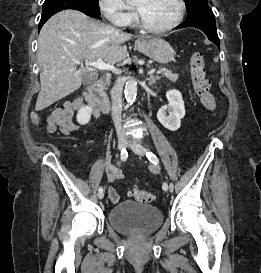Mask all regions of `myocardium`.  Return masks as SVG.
Returning <instances> with one entry per match:
<instances>
[{"instance_id": "obj_1", "label": "myocardium", "mask_w": 261, "mask_h": 273, "mask_svg": "<svg viewBox=\"0 0 261 273\" xmlns=\"http://www.w3.org/2000/svg\"><path fill=\"white\" fill-rule=\"evenodd\" d=\"M177 3L179 5V14L173 23H171L167 26H164V27H153L145 20L144 16L140 12V10L135 8L138 24L140 25L141 28H143L144 30L151 32V33H165V32L173 30L174 28H176L178 25L181 24V22L184 19L185 12H186L185 1L184 0H177Z\"/></svg>"}]
</instances>
